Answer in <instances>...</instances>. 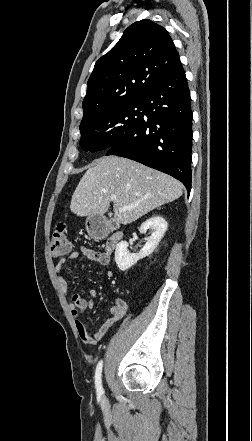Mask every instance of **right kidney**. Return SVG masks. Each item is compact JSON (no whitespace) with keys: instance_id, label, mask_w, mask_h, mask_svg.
Instances as JSON below:
<instances>
[{"instance_id":"1","label":"right kidney","mask_w":252,"mask_h":441,"mask_svg":"<svg viewBox=\"0 0 252 441\" xmlns=\"http://www.w3.org/2000/svg\"><path fill=\"white\" fill-rule=\"evenodd\" d=\"M168 224L161 216H153L143 222L140 227V233H145L148 229H152L151 236L147 237L144 247L138 254H130L128 251V243L121 241L115 250V262L121 271L131 268L140 259L149 256L157 248L159 242L167 230Z\"/></svg>"}]
</instances>
